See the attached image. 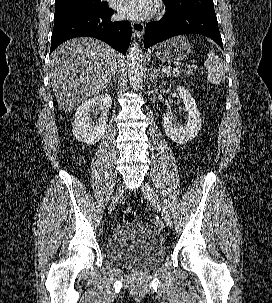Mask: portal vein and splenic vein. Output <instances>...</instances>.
I'll list each match as a JSON object with an SVG mask.
<instances>
[{
	"instance_id": "portal-vein-and-splenic-vein-1",
	"label": "portal vein and splenic vein",
	"mask_w": 272,
	"mask_h": 303,
	"mask_svg": "<svg viewBox=\"0 0 272 303\" xmlns=\"http://www.w3.org/2000/svg\"><path fill=\"white\" fill-rule=\"evenodd\" d=\"M167 71H168V68H167V67L161 69V72H163V73H165V72H167Z\"/></svg>"
}]
</instances>
